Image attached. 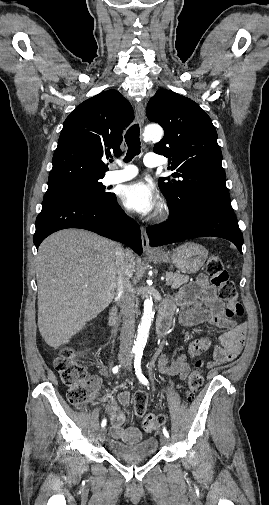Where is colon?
I'll return each mask as SVG.
<instances>
[{
  "label": "colon",
  "instance_id": "obj_1",
  "mask_svg": "<svg viewBox=\"0 0 269 505\" xmlns=\"http://www.w3.org/2000/svg\"><path fill=\"white\" fill-rule=\"evenodd\" d=\"M205 270L210 277L211 283L218 288L220 299L227 303L226 317L233 319L242 316L244 310L237 301L235 284L230 280L222 259L217 255H211L206 262ZM54 368L61 382L68 388V402L79 409H87L92 393V384L87 381L86 370L78 361L75 350L71 347L63 348L54 360ZM202 368L203 361L197 360L195 368L188 377L185 394L187 401H191L195 397L203 384ZM134 409L137 415L144 416L143 427L148 432L159 429L164 422V416L162 415L146 414L147 395L142 391L135 394Z\"/></svg>",
  "mask_w": 269,
  "mask_h": 505
}]
</instances>
